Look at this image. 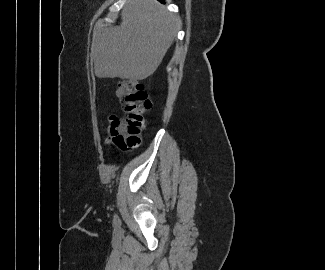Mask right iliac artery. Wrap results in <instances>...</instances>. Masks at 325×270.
Masks as SVG:
<instances>
[{"label": "right iliac artery", "mask_w": 325, "mask_h": 270, "mask_svg": "<svg viewBox=\"0 0 325 270\" xmlns=\"http://www.w3.org/2000/svg\"><path fill=\"white\" fill-rule=\"evenodd\" d=\"M114 223L115 224H119L120 223V219L117 215L114 216Z\"/></svg>", "instance_id": "82829eb1"}]
</instances>
